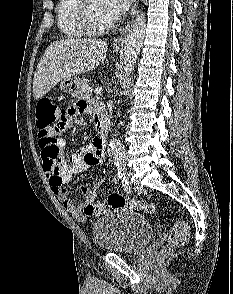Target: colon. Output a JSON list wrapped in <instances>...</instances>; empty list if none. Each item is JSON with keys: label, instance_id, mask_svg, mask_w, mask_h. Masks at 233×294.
<instances>
[{"label": "colon", "instance_id": "obj_1", "mask_svg": "<svg viewBox=\"0 0 233 294\" xmlns=\"http://www.w3.org/2000/svg\"><path fill=\"white\" fill-rule=\"evenodd\" d=\"M58 106L50 98H42L38 101L36 107L35 122L40 132H53L51 123L58 119ZM71 108V107H70ZM43 144H53L55 137H40ZM127 207L134 210H141L147 213H153L155 207L152 204L140 202L135 199L126 198L120 194L113 193L107 198L106 203H97L87 207L89 214L100 215L107 209H116ZM189 236V227L184 221H178L170 231L168 242L170 247H177L184 244ZM169 249H165L162 255H166Z\"/></svg>", "mask_w": 233, "mask_h": 294}]
</instances>
